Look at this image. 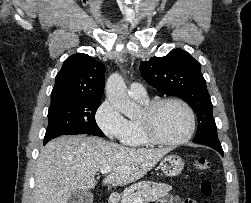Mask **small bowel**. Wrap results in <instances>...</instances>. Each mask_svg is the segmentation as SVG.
I'll return each mask as SVG.
<instances>
[{
  "label": "small bowel",
  "mask_w": 251,
  "mask_h": 203,
  "mask_svg": "<svg viewBox=\"0 0 251 203\" xmlns=\"http://www.w3.org/2000/svg\"><path fill=\"white\" fill-rule=\"evenodd\" d=\"M158 203H196V201L192 199L182 200L177 196L167 195L163 197Z\"/></svg>",
  "instance_id": "small-bowel-1"
}]
</instances>
